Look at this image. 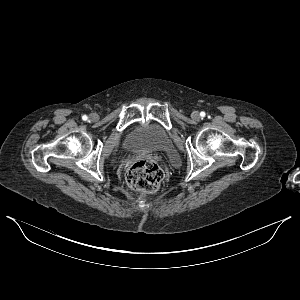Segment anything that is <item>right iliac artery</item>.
Returning <instances> with one entry per match:
<instances>
[{
	"mask_svg": "<svg viewBox=\"0 0 300 300\" xmlns=\"http://www.w3.org/2000/svg\"><path fill=\"white\" fill-rule=\"evenodd\" d=\"M82 119H83L84 121H86V120L88 119V117H87L86 115H83V116H82Z\"/></svg>",
	"mask_w": 300,
	"mask_h": 300,
	"instance_id": "82829eb1",
	"label": "right iliac artery"
}]
</instances>
